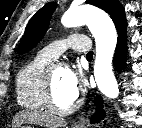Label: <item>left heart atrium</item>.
<instances>
[{"label": "left heart atrium", "mask_w": 142, "mask_h": 128, "mask_svg": "<svg viewBox=\"0 0 142 128\" xmlns=\"http://www.w3.org/2000/svg\"><path fill=\"white\" fill-rule=\"evenodd\" d=\"M65 81L67 85L78 94L79 90L82 88L81 72L76 68L67 69L65 71Z\"/></svg>", "instance_id": "left-heart-atrium-1"}]
</instances>
